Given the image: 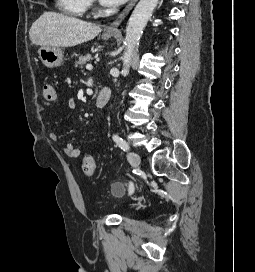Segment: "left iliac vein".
I'll return each instance as SVG.
<instances>
[{
    "label": "left iliac vein",
    "mask_w": 255,
    "mask_h": 272,
    "mask_svg": "<svg viewBox=\"0 0 255 272\" xmlns=\"http://www.w3.org/2000/svg\"><path fill=\"white\" fill-rule=\"evenodd\" d=\"M127 158H128L129 163H130L132 166H139L140 163H141V159H140V156H139L138 153L129 152V153L127 154Z\"/></svg>",
    "instance_id": "obj_1"
}]
</instances>
